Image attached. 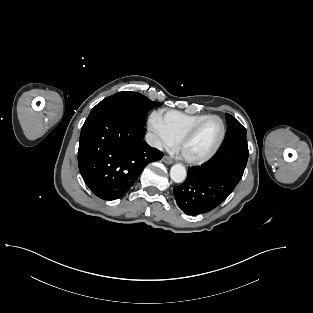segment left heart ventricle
I'll use <instances>...</instances> for the list:
<instances>
[{
  "label": "left heart ventricle",
  "mask_w": 313,
  "mask_h": 313,
  "mask_svg": "<svg viewBox=\"0 0 313 313\" xmlns=\"http://www.w3.org/2000/svg\"><path fill=\"white\" fill-rule=\"evenodd\" d=\"M220 133V122L214 118L207 120L183 145L182 153L193 158L208 154L218 141Z\"/></svg>",
  "instance_id": "1"
}]
</instances>
